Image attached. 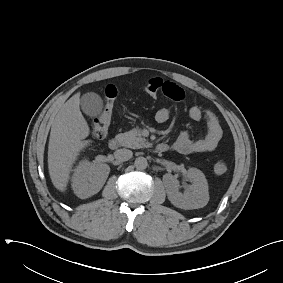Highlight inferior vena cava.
<instances>
[{"instance_id":"inferior-vena-cava-1","label":"inferior vena cava","mask_w":283,"mask_h":283,"mask_svg":"<svg viewBox=\"0 0 283 283\" xmlns=\"http://www.w3.org/2000/svg\"><path fill=\"white\" fill-rule=\"evenodd\" d=\"M115 159L119 162L128 161L132 158L133 153L129 149H118L114 152Z\"/></svg>"}]
</instances>
